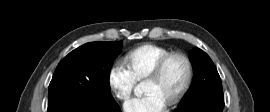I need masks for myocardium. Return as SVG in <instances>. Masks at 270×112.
<instances>
[{
  "instance_id": "1",
  "label": "myocardium",
  "mask_w": 270,
  "mask_h": 112,
  "mask_svg": "<svg viewBox=\"0 0 270 112\" xmlns=\"http://www.w3.org/2000/svg\"><path fill=\"white\" fill-rule=\"evenodd\" d=\"M174 58H180L182 59L187 68V74H186V79L184 81L183 86L181 87L180 91L176 94V96L171 99L167 104L169 106H174L182 101V99L185 97L187 92L189 91L193 77H194V68H193V63L189 56H187L185 53L182 52H171L164 56L154 67V69L150 72V74L147 76V80H157L162 77L164 74V71L169 64V62L174 59Z\"/></svg>"
}]
</instances>
